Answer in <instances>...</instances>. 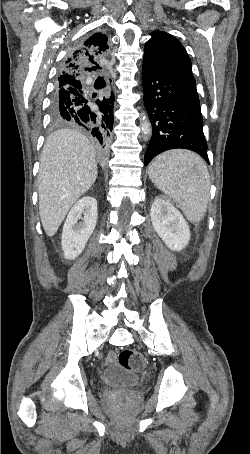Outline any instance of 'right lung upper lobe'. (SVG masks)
I'll return each instance as SVG.
<instances>
[{"label":"right lung upper lobe","instance_id":"right-lung-upper-lobe-1","mask_svg":"<svg viewBox=\"0 0 250 454\" xmlns=\"http://www.w3.org/2000/svg\"><path fill=\"white\" fill-rule=\"evenodd\" d=\"M107 40L106 35L95 33L73 50L61 67L57 86L59 88L70 84L81 86L80 80L85 72L101 69L98 62L106 59L109 54Z\"/></svg>","mask_w":250,"mask_h":454}]
</instances>
